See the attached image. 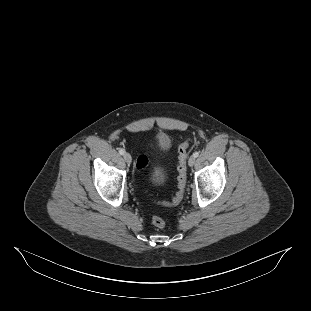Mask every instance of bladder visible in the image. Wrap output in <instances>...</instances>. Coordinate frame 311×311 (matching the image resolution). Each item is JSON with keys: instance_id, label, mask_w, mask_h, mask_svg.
I'll list each match as a JSON object with an SVG mask.
<instances>
[{"instance_id": "bladder-1", "label": "bladder", "mask_w": 311, "mask_h": 311, "mask_svg": "<svg viewBox=\"0 0 311 311\" xmlns=\"http://www.w3.org/2000/svg\"><path fill=\"white\" fill-rule=\"evenodd\" d=\"M171 139L167 135H160L156 141V150L159 153H165L171 147ZM169 176V170L166 165L162 163H156L150 173L149 180L150 183L155 187L163 186Z\"/></svg>"}]
</instances>
